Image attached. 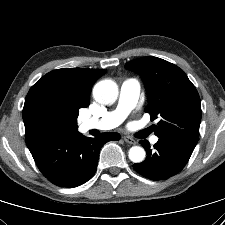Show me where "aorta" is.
<instances>
[{
	"instance_id": "obj_1",
	"label": "aorta",
	"mask_w": 225,
	"mask_h": 225,
	"mask_svg": "<svg viewBox=\"0 0 225 225\" xmlns=\"http://www.w3.org/2000/svg\"><path fill=\"white\" fill-rule=\"evenodd\" d=\"M93 95L96 101L101 104H112L118 96V86L112 80H102L98 82L93 89ZM145 150L140 146L130 148L128 156L134 163H140L145 159Z\"/></svg>"
}]
</instances>
